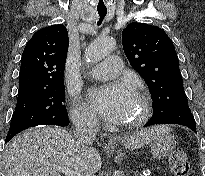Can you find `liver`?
<instances>
[{"mask_svg": "<svg viewBox=\"0 0 205 176\" xmlns=\"http://www.w3.org/2000/svg\"><path fill=\"white\" fill-rule=\"evenodd\" d=\"M159 129L170 131L164 126L151 127L121 138L122 144L129 149L142 147ZM4 157L5 176H60L44 162L94 176L102 164L95 148L81 144L68 131L56 127L29 129L18 134L6 145Z\"/></svg>", "mask_w": 205, "mask_h": 176, "instance_id": "obj_1", "label": "liver"}]
</instances>
